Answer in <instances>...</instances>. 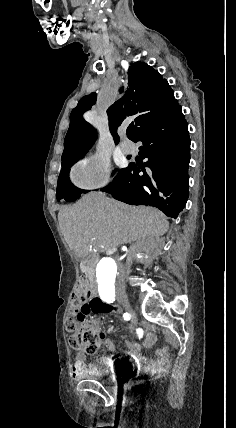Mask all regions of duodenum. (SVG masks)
<instances>
[{"label":"duodenum","mask_w":236,"mask_h":428,"mask_svg":"<svg viewBox=\"0 0 236 428\" xmlns=\"http://www.w3.org/2000/svg\"><path fill=\"white\" fill-rule=\"evenodd\" d=\"M80 264L82 267L86 268L89 265V260L87 258H81ZM90 284V290L94 295H97L99 293V289L96 283V280L94 277H90L89 279Z\"/></svg>","instance_id":"1"}]
</instances>
